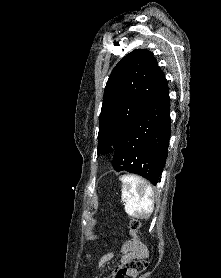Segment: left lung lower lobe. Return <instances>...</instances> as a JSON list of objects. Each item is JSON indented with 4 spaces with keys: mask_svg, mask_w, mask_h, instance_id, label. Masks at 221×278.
<instances>
[{
    "mask_svg": "<svg viewBox=\"0 0 221 278\" xmlns=\"http://www.w3.org/2000/svg\"><path fill=\"white\" fill-rule=\"evenodd\" d=\"M170 127L169 90L163 76L146 107L114 149V169L138 174L156 185L166 163Z\"/></svg>",
    "mask_w": 221,
    "mask_h": 278,
    "instance_id": "left-lung-lower-lobe-1",
    "label": "left lung lower lobe"
}]
</instances>
